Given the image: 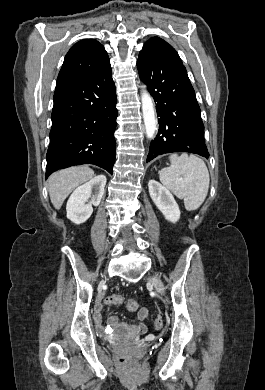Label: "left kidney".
<instances>
[{"label":"left kidney","instance_id":"obj_1","mask_svg":"<svg viewBox=\"0 0 265 390\" xmlns=\"http://www.w3.org/2000/svg\"><path fill=\"white\" fill-rule=\"evenodd\" d=\"M148 188L151 199L166 220L176 223L180 218V210L171 192L154 179L149 181Z\"/></svg>","mask_w":265,"mask_h":390}]
</instances>
